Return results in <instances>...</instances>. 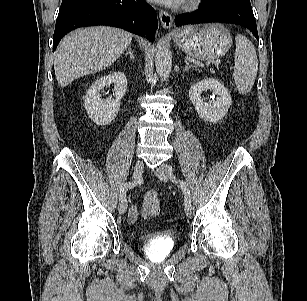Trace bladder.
Segmentation results:
<instances>
[{"instance_id": "31cf9c89", "label": "bladder", "mask_w": 307, "mask_h": 301, "mask_svg": "<svg viewBox=\"0 0 307 301\" xmlns=\"http://www.w3.org/2000/svg\"><path fill=\"white\" fill-rule=\"evenodd\" d=\"M162 237L166 238L167 235H161L159 233L149 234L147 236L142 237L141 243L143 247H148L151 243H153L154 241H158ZM156 247H157L156 250L158 254H168L172 251L174 247V243L173 242L171 243L170 242H160Z\"/></svg>"}]
</instances>
